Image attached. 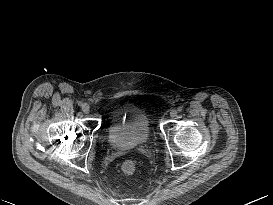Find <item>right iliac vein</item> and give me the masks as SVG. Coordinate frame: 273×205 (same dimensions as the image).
<instances>
[{
	"instance_id": "right-iliac-vein-1",
	"label": "right iliac vein",
	"mask_w": 273,
	"mask_h": 205,
	"mask_svg": "<svg viewBox=\"0 0 273 205\" xmlns=\"http://www.w3.org/2000/svg\"><path fill=\"white\" fill-rule=\"evenodd\" d=\"M82 111L84 112V113H89V111H90V107H89V105L88 104H83L82 105Z\"/></svg>"
}]
</instances>
